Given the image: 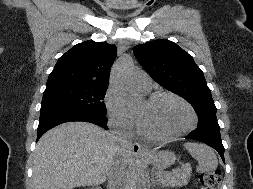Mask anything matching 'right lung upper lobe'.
<instances>
[{
    "label": "right lung upper lobe",
    "mask_w": 253,
    "mask_h": 189,
    "mask_svg": "<svg viewBox=\"0 0 253 189\" xmlns=\"http://www.w3.org/2000/svg\"><path fill=\"white\" fill-rule=\"evenodd\" d=\"M116 46L86 41L67 51L50 73L46 89L60 86L108 87Z\"/></svg>",
    "instance_id": "cb5924a9"
}]
</instances>
